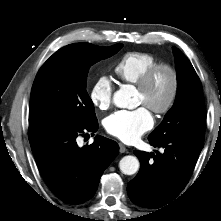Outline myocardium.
<instances>
[{"mask_svg":"<svg viewBox=\"0 0 221 221\" xmlns=\"http://www.w3.org/2000/svg\"><path fill=\"white\" fill-rule=\"evenodd\" d=\"M160 71H166L171 77V86L167 100L160 107H149L151 111L158 115L168 113L174 106L179 93L180 77L178 70L170 63L159 62L151 66L136 83V88L141 93L147 91L152 81Z\"/></svg>","mask_w":221,"mask_h":221,"instance_id":"1","label":"myocardium"}]
</instances>
